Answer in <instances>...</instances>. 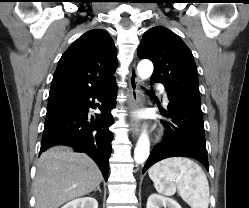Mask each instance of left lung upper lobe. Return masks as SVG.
<instances>
[{"label": "left lung upper lobe", "mask_w": 249, "mask_h": 208, "mask_svg": "<svg viewBox=\"0 0 249 208\" xmlns=\"http://www.w3.org/2000/svg\"><path fill=\"white\" fill-rule=\"evenodd\" d=\"M138 57L153 62L151 80L162 83L167 91L201 104L193 55L171 30L156 26L146 31L138 49Z\"/></svg>", "instance_id": "left-lung-upper-lobe-1"}]
</instances>
